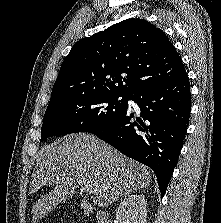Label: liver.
<instances>
[{
	"label": "liver",
	"mask_w": 221,
	"mask_h": 223,
	"mask_svg": "<svg viewBox=\"0 0 221 223\" xmlns=\"http://www.w3.org/2000/svg\"><path fill=\"white\" fill-rule=\"evenodd\" d=\"M76 182L92 188L94 205L107 207L123 194L149 186L151 175L147 168L91 134L65 136L59 145L54 142L38 152L30 193L45 185L54 188L34 204L33 223L71 198Z\"/></svg>",
	"instance_id": "1"
}]
</instances>
